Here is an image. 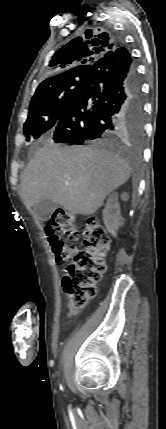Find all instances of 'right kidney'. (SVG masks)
Returning <instances> with one entry per match:
<instances>
[{
	"label": "right kidney",
	"instance_id": "1",
	"mask_svg": "<svg viewBox=\"0 0 166 429\" xmlns=\"http://www.w3.org/2000/svg\"><path fill=\"white\" fill-rule=\"evenodd\" d=\"M121 198L122 200L127 201L129 196L124 192L121 194ZM103 221L108 232L116 237L117 230L124 224V219L120 214L117 192H111L107 199L106 206L103 210Z\"/></svg>",
	"mask_w": 166,
	"mask_h": 429
}]
</instances>
